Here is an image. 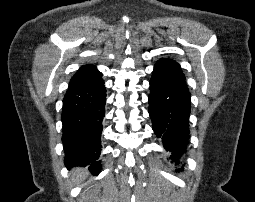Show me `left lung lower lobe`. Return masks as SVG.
<instances>
[{"label":"left lung lower lobe","instance_id":"1","mask_svg":"<svg viewBox=\"0 0 255 202\" xmlns=\"http://www.w3.org/2000/svg\"><path fill=\"white\" fill-rule=\"evenodd\" d=\"M149 115L152 128L163 146L172 151L170 158H178L187 147L189 138L190 93L186 84L171 80L161 73L150 80Z\"/></svg>","mask_w":255,"mask_h":202}]
</instances>
